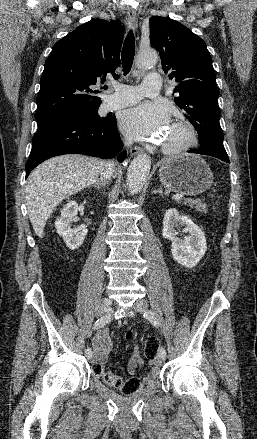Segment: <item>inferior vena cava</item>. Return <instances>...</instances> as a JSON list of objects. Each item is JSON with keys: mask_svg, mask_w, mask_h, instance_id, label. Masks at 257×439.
<instances>
[{"mask_svg": "<svg viewBox=\"0 0 257 439\" xmlns=\"http://www.w3.org/2000/svg\"><path fill=\"white\" fill-rule=\"evenodd\" d=\"M126 145H130L132 144V142L130 140H127L125 142ZM113 164L112 163H108V165L106 166V169L104 171H102L101 173V180L105 181L107 179H110L112 172H113V168H112Z\"/></svg>", "mask_w": 257, "mask_h": 439, "instance_id": "1", "label": "inferior vena cava"}]
</instances>
